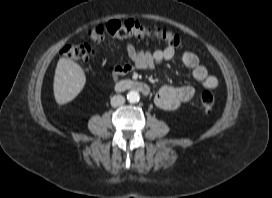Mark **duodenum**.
Returning a JSON list of instances; mask_svg holds the SVG:
<instances>
[{
	"instance_id": "1",
	"label": "duodenum",
	"mask_w": 272,
	"mask_h": 198,
	"mask_svg": "<svg viewBox=\"0 0 272 198\" xmlns=\"http://www.w3.org/2000/svg\"><path fill=\"white\" fill-rule=\"evenodd\" d=\"M115 91L122 92L126 90H136L147 96L150 94V88L147 83L138 80H123L114 86Z\"/></svg>"
}]
</instances>
